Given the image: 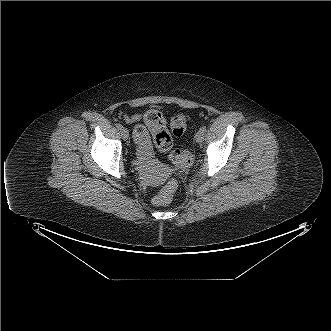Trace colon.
Masks as SVG:
<instances>
[{
  "mask_svg": "<svg viewBox=\"0 0 331 331\" xmlns=\"http://www.w3.org/2000/svg\"><path fill=\"white\" fill-rule=\"evenodd\" d=\"M145 125H139L135 128V133L141 138L145 139L148 130L153 135V140L157 149L161 152H169L172 150L173 139L180 137L187 128V117L185 114L178 113L172 116L170 120L171 133L167 130L166 122L162 114L155 109L146 111L142 116ZM171 160L174 164L186 167L192 163V155L186 150H173L170 154ZM175 182L169 181L153 198L152 202L155 205H167L172 200L175 191Z\"/></svg>",
  "mask_w": 331,
  "mask_h": 331,
  "instance_id": "1",
  "label": "colon"
}]
</instances>
